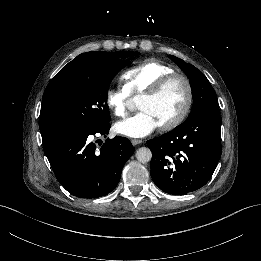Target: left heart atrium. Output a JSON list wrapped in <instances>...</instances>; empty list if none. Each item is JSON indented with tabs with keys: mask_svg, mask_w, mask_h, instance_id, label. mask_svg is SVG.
<instances>
[{
	"mask_svg": "<svg viewBox=\"0 0 261 261\" xmlns=\"http://www.w3.org/2000/svg\"><path fill=\"white\" fill-rule=\"evenodd\" d=\"M159 127L158 122L147 111H140L135 116L115 125V131L131 138H142Z\"/></svg>",
	"mask_w": 261,
	"mask_h": 261,
	"instance_id": "1",
	"label": "left heart atrium"
}]
</instances>
